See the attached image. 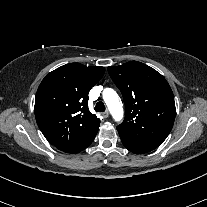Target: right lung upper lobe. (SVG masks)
I'll list each match as a JSON object with an SVG mask.
<instances>
[{
  "label": "right lung upper lobe",
  "instance_id": "right-lung-upper-lobe-1",
  "mask_svg": "<svg viewBox=\"0 0 207 207\" xmlns=\"http://www.w3.org/2000/svg\"><path fill=\"white\" fill-rule=\"evenodd\" d=\"M104 72V67L71 63L50 72L39 85L36 121L45 138L61 151L98 131L100 119L88 109V93Z\"/></svg>",
  "mask_w": 207,
  "mask_h": 207
}]
</instances>
